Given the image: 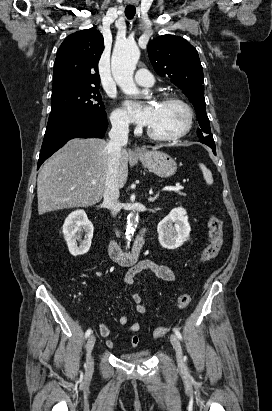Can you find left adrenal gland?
Listing matches in <instances>:
<instances>
[{"mask_svg":"<svg viewBox=\"0 0 272 411\" xmlns=\"http://www.w3.org/2000/svg\"><path fill=\"white\" fill-rule=\"evenodd\" d=\"M159 194H156L154 197H150L149 201L154 202L158 198Z\"/></svg>","mask_w":272,"mask_h":411,"instance_id":"obj_1","label":"left adrenal gland"}]
</instances>
